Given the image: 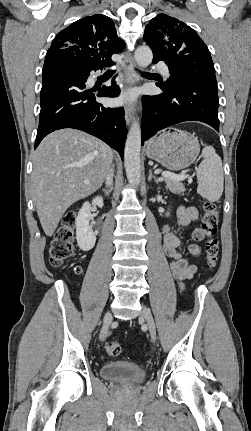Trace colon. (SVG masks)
Segmentation results:
<instances>
[{
    "label": "colon",
    "mask_w": 251,
    "mask_h": 431,
    "mask_svg": "<svg viewBox=\"0 0 251 431\" xmlns=\"http://www.w3.org/2000/svg\"><path fill=\"white\" fill-rule=\"evenodd\" d=\"M76 223V213L67 212L61 220L50 244L49 261L53 267L63 265L73 254L74 250V230ZM219 223V211L214 202L203 203V216L201 229L207 236L205 242V255L209 268H214L219 258V241L215 237ZM106 352L111 356L120 353V345L116 341H107Z\"/></svg>",
    "instance_id": "obj_1"
}]
</instances>
